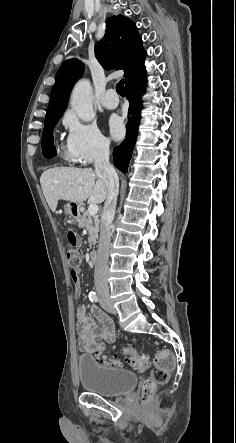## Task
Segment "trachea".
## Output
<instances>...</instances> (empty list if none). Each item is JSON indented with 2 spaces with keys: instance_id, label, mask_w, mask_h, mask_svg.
I'll return each mask as SVG.
<instances>
[{
  "instance_id": "3493384b",
  "label": "trachea",
  "mask_w": 236,
  "mask_h": 443,
  "mask_svg": "<svg viewBox=\"0 0 236 443\" xmlns=\"http://www.w3.org/2000/svg\"><path fill=\"white\" fill-rule=\"evenodd\" d=\"M116 90L120 96H124V80L123 79L116 85Z\"/></svg>"
}]
</instances>
